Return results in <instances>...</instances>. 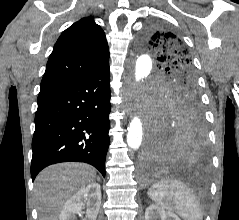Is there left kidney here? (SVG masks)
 <instances>
[{"instance_id": "5707ae66", "label": "left kidney", "mask_w": 239, "mask_h": 220, "mask_svg": "<svg viewBox=\"0 0 239 220\" xmlns=\"http://www.w3.org/2000/svg\"><path fill=\"white\" fill-rule=\"evenodd\" d=\"M145 220H181L175 213L165 211L157 205H150L145 211Z\"/></svg>"}]
</instances>
